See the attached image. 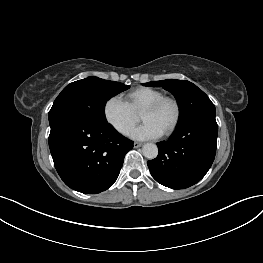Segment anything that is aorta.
<instances>
[{
  "instance_id": "aorta-1",
  "label": "aorta",
  "mask_w": 263,
  "mask_h": 263,
  "mask_svg": "<svg viewBox=\"0 0 263 263\" xmlns=\"http://www.w3.org/2000/svg\"><path fill=\"white\" fill-rule=\"evenodd\" d=\"M143 155L148 159H154L158 155V147L154 143H146L142 147Z\"/></svg>"
}]
</instances>
